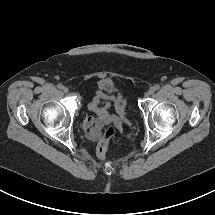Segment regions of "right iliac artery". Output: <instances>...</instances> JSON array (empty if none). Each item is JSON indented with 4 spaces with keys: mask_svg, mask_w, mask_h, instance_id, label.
I'll return each mask as SVG.
<instances>
[{
    "mask_svg": "<svg viewBox=\"0 0 215 215\" xmlns=\"http://www.w3.org/2000/svg\"><path fill=\"white\" fill-rule=\"evenodd\" d=\"M57 87H58V89H62L63 85L62 84H58Z\"/></svg>",
    "mask_w": 215,
    "mask_h": 215,
    "instance_id": "obj_1",
    "label": "right iliac artery"
}]
</instances>
